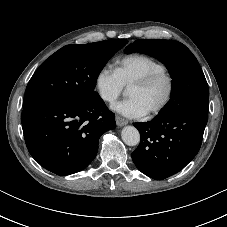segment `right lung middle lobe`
<instances>
[{"label":"right lung middle lobe","instance_id":"1","mask_svg":"<svg viewBox=\"0 0 227 227\" xmlns=\"http://www.w3.org/2000/svg\"><path fill=\"white\" fill-rule=\"evenodd\" d=\"M127 40L67 45L51 55L33 74L23 108L52 99L86 101L98 97L96 81L107 61Z\"/></svg>","mask_w":227,"mask_h":227}]
</instances>
